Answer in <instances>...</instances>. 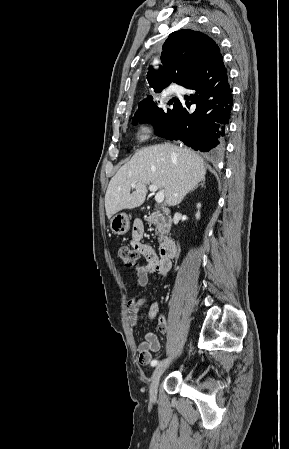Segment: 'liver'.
I'll list each match as a JSON object with an SVG mask.
<instances>
[{
  "instance_id": "6515ba94",
  "label": "liver",
  "mask_w": 289,
  "mask_h": 449,
  "mask_svg": "<svg viewBox=\"0 0 289 449\" xmlns=\"http://www.w3.org/2000/svg\"><path fill=\"white\" fill-rule=\"evenodd\" d=\"M203 159L186 147L170 144L145 147L134 153L109 182L105 194L108 219L123 209L141 206L148 183L164 192L169 206L179 204L184 196L205 178ZM131 183H136L130 194Z\"/></svg>"
}]
</instances>
